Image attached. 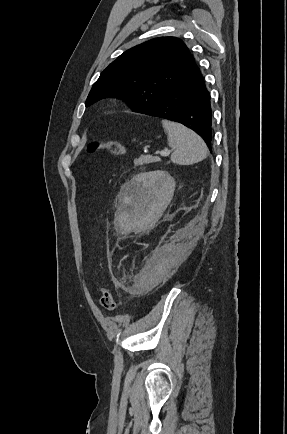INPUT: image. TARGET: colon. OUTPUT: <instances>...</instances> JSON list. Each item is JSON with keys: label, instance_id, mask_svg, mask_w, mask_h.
<instances>
[{"label": "colon", "instance_id": "obj_1", "mask_svg": "<svg viewBox=\"0 0 287 434\" xmlns=\"http://www.w3.org/2000/svg\"><path fill=\"white\" fill-rule=\"evenodd\" d=\"M89 153L96 152H106L113 156H120L125 154L126 148L125 146L117 141V140H108L102 142H94L88 146ZM100 305L106 311H113L116 306L115 294L114 292L108 288L104 287L102 289V294L100 297Z\"/></svg>", "mask_w": 287, "mask_h": 434}]
</instances>
